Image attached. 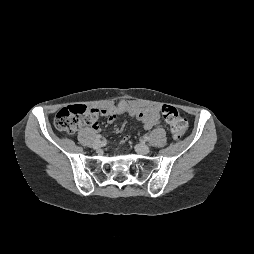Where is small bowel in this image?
<instances>
[{"instance_id":"small-bowel-1","label":"small bowel","mask_w":254,"mask_h":254,"mask_svg":"<svg viewBox=\"0 0 254 254\" xmlns=\"http://www.w3.org/2000/svg\"><path fill=\"white\" fill-rule=\"evenodd\" d=\"M101 116H104L109 123H112L118 116L128 114L139 120L143 128L152 129L161 123L160 108L158 106H143L137 103H129L120 101L118 104L98 110ZM92 128L96 131L100 130L98 121L92 123Z\"/></svg>"}]
</instances>
